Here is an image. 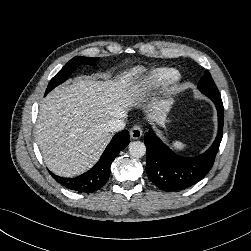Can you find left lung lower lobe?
Listing matches in <instances>:
<instances>
[{
	"mask_svg": "<svg viewBox=\"0 0 251 251\" xmlns=\"http://www.w3.org/2000/svg\"><path fill=\"white\" fill-rule=\"evenodd\" d=\"M218 112V134L211 147L199 156L182 157L167 147L152 129L146 132L148 178L161 190H184L200 181L212 168L223 136L224 109L221 96L210 98Z\"/></svg>",
	"mask_w": 251,
	"mask_h": 251,
	"instance_id": "0a47b994",
	"label": "left lung lower lobe"
}]
</instances>
